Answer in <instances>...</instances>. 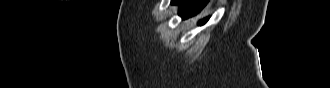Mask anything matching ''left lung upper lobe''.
Returning a JSON list of instances; mask_svg holds the SVG:
<instances>
[{
    "mask_svg": "<svg viewBox=\"0 0 330 88\" xmlns=\"http://www.w3.org/2000/svg\"><path fill=\"white\" fill-rule=\"evenodd\" d=\"M202 5H203V3H202L201 1H199V3L196 4V8H197V10H198L199 8H201Z\"/></svg>",
    "mask_w": 330,
    "mask_h": 88,
    "instance_id": "left-lung-upper-lobe-1",
    "label": "left lung upper lobe"
}]
</instances>
